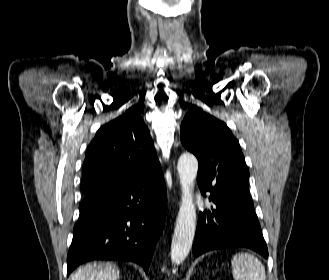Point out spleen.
<instances>
[{"mask_svg":"<svg viewBox=\"0 0 329 280\" xmlns=\"http://www.w3.org/2000/svg\"><path fill=\"white\" fill-rule=\"evenodd\" d=\"M231 263L234 280H266L263 264L252 254H236Z\"/></svg>","mask_w":329,"mask_h":280,"instance_id":"obj_1","label":"spleen"}]
</instances>
